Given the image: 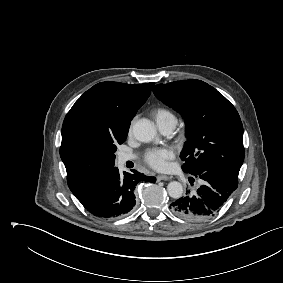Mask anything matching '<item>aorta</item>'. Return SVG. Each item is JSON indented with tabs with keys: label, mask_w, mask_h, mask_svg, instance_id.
<instances>
[{
	"label": "aorta",
	"mask_w": 283,
	"mask_h": 283,
	"mask_svg": "<svg viewBox=\"0 0 283 283\" xmlns=\"http://www.w3.org/2000/svg\"><path fill=\"white\" fill-rule=\"evenodd\" d=\"M132 133L140 142H150L157 136L155 126L148 119H139L132 126ZM167 191L170 197L178 199L183 194V186L180 182L172 181L167 186Z\"/></svg>",
	"instance_id": "obj_1"
}]
</instances>
